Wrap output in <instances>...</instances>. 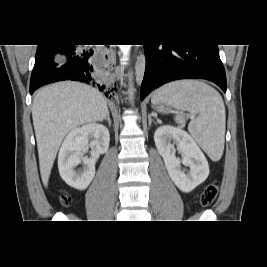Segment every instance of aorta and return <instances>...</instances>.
<instances>
[{"mask_svg": "<svg viewBox=\"0 0 267 267\" xmlns=\"http://www.w3.org/2000/svg\"><path fill=\"white\" fill-rule=\"evenodd\" d=\"M133 90H134V89H133V84L130 83V84H129V93L132 94V93H133Z\"/></svg>", "mask_w": 267, "mask_h": 267, "instance_id": "obj_1", "label": "aorta"}]
</instances>
